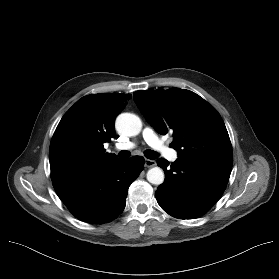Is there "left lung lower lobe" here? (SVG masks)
Here are the masks:
<instances>
[{"label": "left lung lower lobe", "mask_w": 279, "mask_h": 279, "mask_svg": "<svg viewBox=\"0 0 279 279\" xmlns=\"http://www.w3.org/2000/svg\"><path fill=\"white\" fill-rule=\"evenodd\" d=\"M165 171V181L156 191L160 207L178 219H194L205 214L224 192L232 164L178 158L170 166L157 160Z\"/></svg>", "instance_id": "obj_1"}]
</instances>
